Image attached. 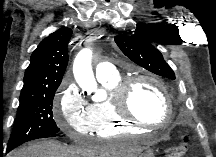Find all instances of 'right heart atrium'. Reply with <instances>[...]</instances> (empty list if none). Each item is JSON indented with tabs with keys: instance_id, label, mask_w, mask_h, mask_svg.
Instances as JSON below:
<instances>
[{
	"instance_id": "d8ad5b80",
	"label": "right heart atrium",
	"mask_w": 216,
	"mask_h": 157,
	"mask_svg": "<svg viewBox=\"0 0 216 157\" xmlns=\"http://www.w3.org/2000/svg\"><path fill=\"white\" fill-rule=\"evenodd\" d=\"M57 106L56 123L68 136L76 138L93 132L91 105L71 81L62 83Z\"/></svg>"
}]
</instances>
